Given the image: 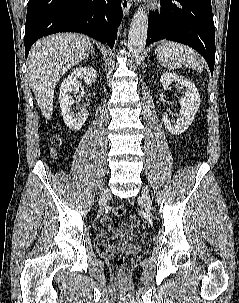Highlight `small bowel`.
<instances>
[{"mask_svg": "<svg viewBox=\"0 0 239 303\" xmlns=\"http://www.w3.org/2000/svg\"><path fill=\"white\" fill-rule=\"evenodd\" d=\"M101 224L103 227L108 231H114L117 230L119 227L115 226L111 219L108 216H102L101 217ZM139 224V219L137 216H131L129 219V222L127 224L122 225L126 229H133Z\"/></svg>", "mask_w": 239, "mask_h": 303, "instance_id": "1", "label": "small bowel"}]
</instances>
